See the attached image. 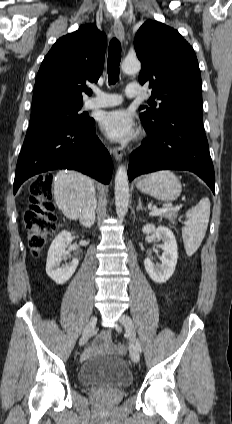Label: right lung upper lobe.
Returning a JSON list of instances; mask_svg holds the SVG:
<instances>
[{
  "label": "right lung upper lobe",
  "mask_w": 232,
  "mask_h": 424,
  "mask_svg": "<svg viewBox=\"0 0 232 424\" xmlns=\"http://www.w3.org/2000/svg\"><path fill=\"white\" fill-rule=\"evenodd\" d=\"M106 35L93 24L58 39L44 58L35 81L32 108L46 104L82 105L85 85L100 77Z\"/></svg>",
  "instance_id": "1"
}]
</instances>
